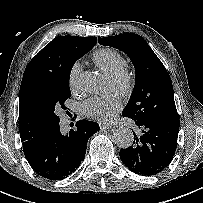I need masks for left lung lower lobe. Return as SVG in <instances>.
I'll use <instances>...</instances> for the list:
<instances>
[{
	"label": "left lung lower lobe",
	"mask_w": 203,
	"mask_h": 203,
	"mask_svg": "<svg viewBox=\"0 0 203 203\" xmlns=\"http://www.w3.org/2000/svg\"><path fill=\"white\" fill-rule=\"evenodd\" d=\"M133 145L120 150V158L132 172L152 176L163 171L173 159L177 147L179 121H134Z\"/></svg>",
	"instance_id": "0a47b994"
}]
</instances>
